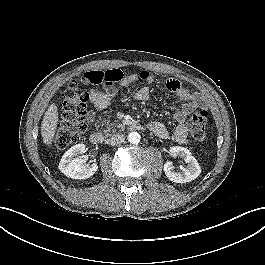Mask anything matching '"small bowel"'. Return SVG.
Returning <instances> with one entry per match:
<instances>
[{"mask_svg":"<svg viewBox=\"0 0 265 265\" xmlns=\"http://www.w3.org/2000/svg\"><path fill=\"white\" fill-rule=\"evenodd\" d=\"M140 78L144 79L147 84H152L154 82V76L147 71H145L143 75L140 73H133L129 75L118 73L117 80L115 82H119V84L122 86H127ZM83 81L86 84L91 85L87 79V75L83 76ZM113 83H103V90H97L93 87L90 88V102L94 109L104 110L110 105L111 100L116 94V89L114 88ZM166 88L169 91L177 94L178 97L184 102L183 107L174 115L176 122L174 130L172 133H170L168 128L158 121H150L148 123V128L160 138H171L173 141L180 144L186 143L188 134L186 118L191 112L200 106L199 97L196 93L191 92L176 81L166 82ZM135 98L138 101H147L150 98L149 87L144 86L138 89L135 93ZM93 119L94 116L91 114L88 120L89 122H92Z\"/></svg>","mask_w":265,"mask_h":265,"instance_id":"small-bowel-1","label":"small bowel"}]
</instances>
